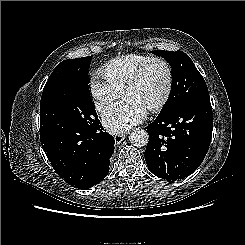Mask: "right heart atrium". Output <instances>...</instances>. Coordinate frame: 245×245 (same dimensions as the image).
I'll return each instance as SVG.
<instances>
[{
  "label": "right heart atrium",
  "mask_w": 245,
  "mask_h": 245,
  "mask_svg": "<svg viewBox=\"0 0 245 245\" xmlns=\"http://www.w3.org/2000/svg\"><path fill=\"white\" fill-rule=\"evenodd\" d=\"M89 92L98 112L105 111L113 101L122 95V90L112 84L101 71L91 73Z\"/></svg>",
  "instance_id": "1"
}]
</instances>
